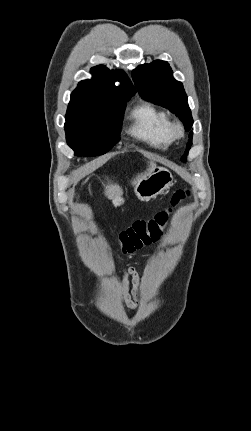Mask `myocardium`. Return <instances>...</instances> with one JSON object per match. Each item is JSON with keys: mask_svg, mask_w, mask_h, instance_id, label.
Wrapping results in <instances>:
<instances>
[{"mask_svg": "<svg viewBox=\"0 0 251 431\" xmlns=\"http://www.w3.org/2000/svg\"><path fill=\"white\" fill-rule=\"evenodd\" d=\"M170 131L172 137L175 139H179L184 136V128L179 121H174L170 123Z\"/></svg>", "mask_w": 251, "mask_h": 431, "instance_id": "myocardium-1", "label": "myocardium"}]
</instances>
